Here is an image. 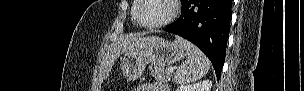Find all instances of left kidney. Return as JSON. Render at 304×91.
Masks as SVG:
<instances>
[{
	"label": "left kidney",
	"instance_id": "5707ae66",
	"mask_svg": "<svg viewBox=\"0 0 304 91\" xmlns=\"http://www.w3.org/2000/svg\"><path fill=\"white\" fill-rule=\"evenodd\" d=\"M212 82L205 80L191 85H182L177 88V91H210Z\"/></svg>",
	"mask_w": 304,
	"mask_h": 91
}]
</instances>
